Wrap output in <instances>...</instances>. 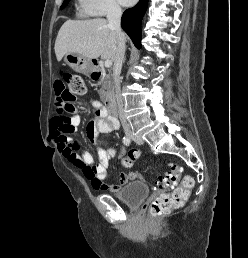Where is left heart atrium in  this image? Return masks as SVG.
I'll list each match as a JSON object with an SVG mask.
<instances>
[{
  "label": "left heart atrium",
  "instance_id": "left-heart-atrium-1",
  "mask_svg": "<svg viewBox=\"0 0 248 258\" xmlns=\"http://www.w3.org/2000/svg\"><path fill=\"white\" fill-rule=\"evenodd\" d=\"M122 5L124 6H130L132 5L136 0H119Z\"/></svg>",
  "mask_w": 248,
  "mask_h": 258
}]
</instances>
